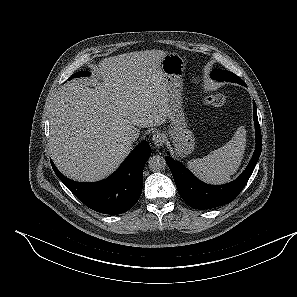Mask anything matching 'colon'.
<instances>
[{
	"mask_svg": "<svg viewBox=\"0 0 297 297\" xmlns=\"http://www.w3.org/2000/svg\"><path fill=\"white\" fill-rule=\"evenodd\" d=\"M204 103L210 107L221 108L228 106L230 99L222 94H214L206 96L204 98Z\"/></svg>",
	"mask_w": 297,
	"mask_h": 297,
	"instance_id": "5ec220e1",
	"label": "colon"
}]
</instances>
